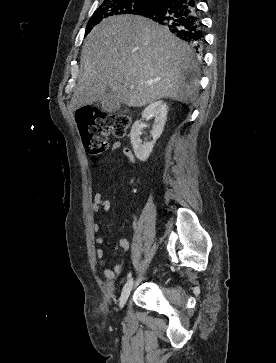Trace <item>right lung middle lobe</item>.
<instances>
[{"instance_id":"right-lung-middle-lobe-1","label":"right lung middle lobe","mask_w":276,"mask_h":363,"mask_svg":"<svg viewBox=\"0 0 276 363\" xmlns=\"http://www.w3.org/2000/svg\"><path fill=\"white\" fill-rule=\"evenodd\" d=\"M154 4L153 0H103L88 22L85 36L107 17L122 14L141 15Z\"/></svg>"}]
</instances>
